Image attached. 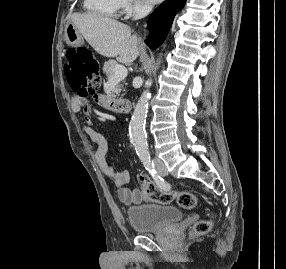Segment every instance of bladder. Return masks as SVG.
<instances>
[{
	"label": "bladder",
	"instance_id": "31cf9c89",
	"mask_svg": "<svg viewBox=\"0 0 286 269\" xmlns=\"http://www.w3.org/2000/svg\"><path fill=\"white\" fill-rule=\"evenodd\" d=\"M181 210L165 203H146L127 209L130 226L139 233H155L180 222Z\"/></svg>",
	"mask_w": 286,
	"mask_h": 269
}]
</instances>
